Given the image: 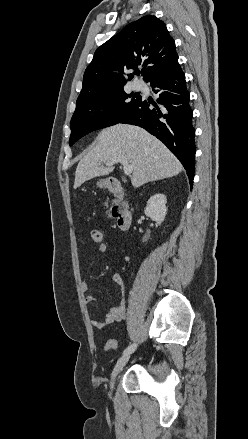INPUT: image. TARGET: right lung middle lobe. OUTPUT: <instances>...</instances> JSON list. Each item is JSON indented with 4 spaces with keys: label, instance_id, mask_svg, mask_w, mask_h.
<instances>
[{
    "label": "right lung middle lobe",
    "instance_id": "obj_1",
    "mask_svg": "<svg viewBox=\"0 0 248 439\" xmlns=\"http://www.w3.org/2000/svg\"><path fill=\"white\" fill-rule=\"evenodd\" d=\"M140 98L120 88L76 107L70 122L69 145L92 131L118 124Z\"/></svg>",
    "mask_w": 248,
    "mask_h": 439
}]
</instances>
